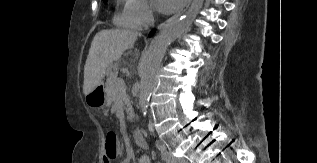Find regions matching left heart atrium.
<instances>
[{
    "mask_svg": "<svg viewBox=\"0 0 317 163\" xmlns=\"http://www.w3.org/2000/svg\"><path fill=\"white\" fill-rule=\"evenodd\" d=\"M183 0H155V6L161 13L168 14L173 12Z\"/></svg>",
    "mask_w": 317,
    "mask_h": 163,
    "instance_id": "1",
    "label": "left heart atrium"
}]
</instances>
